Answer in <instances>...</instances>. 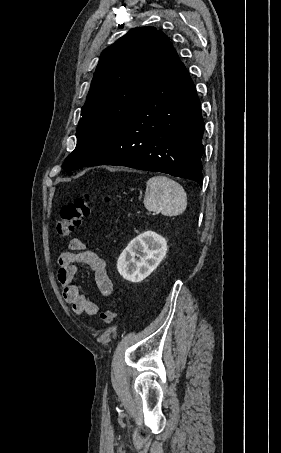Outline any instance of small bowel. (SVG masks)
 I'll use <instances>...</instances> for the list:
<instances>
[{"mask_svg": "<svg viewBox=\"0 0 281 453\" xmlns=\"http://www.w3.org/2000/svg\"><path fill=\"white\" fill-rule=\"evenodd\" d=\"M77 264L88 265L93 272V280L98 291L103 295H109L112 291V282L106 269L105 259L87 250L80 240L73 239L70 247L62 251L57 260V277L64 300L76 313L96 315L98 306L81 296L73 284Z\"/></svg>", "mask_w": 281, "mask_h": 453, "instance_id": "1", "label": "small bowel"}]
</instances>
